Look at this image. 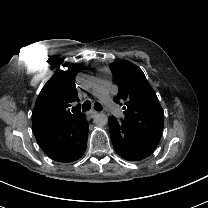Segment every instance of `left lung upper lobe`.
Instances as JSON below:
<instances>
[{
	"label": "left lung upper lobe",
	"mask_w": 208,
	"mask_h": 208,
	"mask_svg": "<svg viewBox=\"0 0 208 208\" xmlns=\"http://www.w3.org/2000/svg\"><path fill=\"white\" fill-rule=\"evenodd\" d=\"M110 68L119 86L114 101L120 105L123 103L124 121L158 145L164 126V112L143 71L125 60L112 63Z\"/></svg>",
	"instance_id": "left-lung-upper-lobe-1"
}]
</instances>
